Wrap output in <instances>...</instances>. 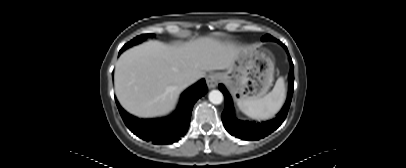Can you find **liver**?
<instances>
[{"instance_id": "6515ba94", "label": "liver", "mask_w": 406, "mask_h": 168, "mask_svg": "<svg viewBox=\"0 0 406 168\" xmlns=\"http://www.w3.org/2000/svg\"><path fill=\"white\" fill-rule=\"evenodd\" d=\"M242 47L211 37L182 45L150 40L125 51L115 66V93L133 115L148 118L166 115L188 86L184 79L199 78L212 70L233 66Z\"/></svg>"}]
</instances>
